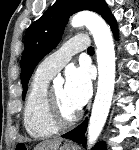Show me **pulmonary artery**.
Listing matches in <instances>:
<instances>
[{
    "mask_svg": "<svg viewBox=\"0 0 139 150\" xmlns=\"http://www.w3.org/2000/svg\"><path fill=\"white\" fill-rule=\"evenodd\" d=\"M90 46L85 35H76L69 39L57 52L44 59L36 70V75L53 77L75 54L87 50Z\"/></svg>",
    "mask_w": 139,
    "mask_h": 150,
    "instance_id": "obj_1",
    "label": "pulmonary artery"
}]
</instances>
